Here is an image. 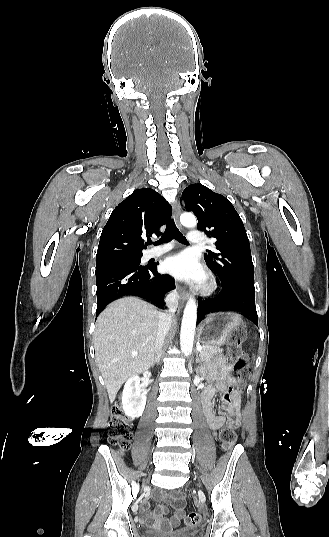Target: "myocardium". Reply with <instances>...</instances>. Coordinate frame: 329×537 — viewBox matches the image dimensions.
Listing matches in <instances>:
<instances>
[{"label":"myocardium","mask_w":329,"mask_h":537,"mask_svg":"<svg viewBox=\"0 0 329 537\" xmlns=\"http://www.w3.org/2000/svg\"><path fill=\"white\" fill-rule=\"evenodd\" d=\"M218 288V283L216 278L212 274H208L201 284L199 291L202 295H211Z\"/></svg>","instance_id":"f54148a6"}]
</instances>
